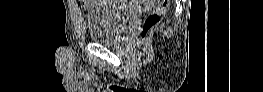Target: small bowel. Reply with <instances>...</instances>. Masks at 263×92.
I'll return each mask as SVG.
<instances>
[{"mask_svg":"<svg viewBox=\"0 0 263 92\" xmlns=\"http://www.w3.org/2000/svg\"><path fill=\"white\" fill-rule=\"evenodd\" d=\"M143 2H145V3L149 4V5H154V4H155L154 1H143ZM85 3H86V7H87V8H90L91 5H92L93 3H95V1H85Z\"/></svg>","mask_w":263,"mask_h":92,"instance_id":"small-bowel-1","label":"small bowel"}]
</instances>
